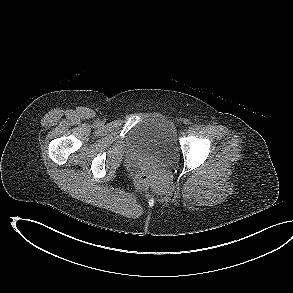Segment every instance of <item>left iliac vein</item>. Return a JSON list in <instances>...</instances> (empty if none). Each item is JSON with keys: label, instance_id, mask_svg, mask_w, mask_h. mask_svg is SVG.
<instances>
[{"label": "left iliac vein", "instance_id": "4c4485c4", "mask_svg": "<svg viewBox=\"0 0 293 293\" xmlns=\"http://www.w3.org/2000/svg\"><path fill=\"white\" fill-rule=\"evenodd\" d=\"M187 133H188V134H192V133H194V128L190 127V128L187 130Z\"/></svg>", "mask_w": 293, "mask_h": 293}]
</instances>
